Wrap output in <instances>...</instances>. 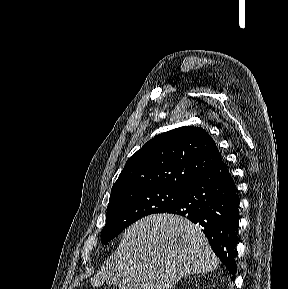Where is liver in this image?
Segmentation results:
<instances>
[{
  "instance_id": "liver-1",
  "label": "liver",
  "mask_w": 288,
  "mask_h": 289,
  "mask_svg": "<svg viewBox=\"0 0 288 289\" xmlns=\"http://www.w3.org/2000/svg\"><path fill=\"white\" fill-rule=\"evenodd\" d=\"M217 266L198 225L174 214H153L126 229L117 250L90 281L100 287L118 273L120 289H171L181 278Z\"/></svg>"
}]
</instances>
